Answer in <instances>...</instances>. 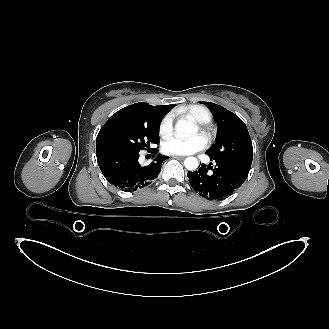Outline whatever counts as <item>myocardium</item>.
<instances>
[{"mask_svg": "<svg viewBox=\"0 0 329 329\" xmlns=\"http://www.w3.org/2000/svg\"><path fill=\"white\" fill-rule=\"evenodd\" d=\"M198 129L204 138H206L207 140L211 139L212 132L207 126H205L204 124H200L198 126Z\"/></svg>", "mask_w": 329, "mask_h": 329, "instance_id": "1", "label": "myocardium"}]
</instances>
